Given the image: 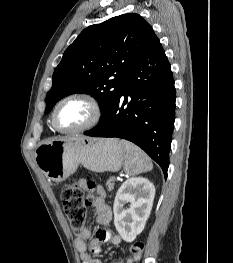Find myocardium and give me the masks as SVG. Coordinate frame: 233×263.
I'll list each match as a JSON object with an SVG mask.
<instances>
[{
    "label": "myocardium",
    "instance_id": "1",
    "mask_svg": "<svg viewBox=\"0 0 233 263\" xmlns=\"http://www.w3.org/2000/svg\"><path fill=\"white\" fill-rule=\"evenodd\" d=\"M70 100L84 101L91 109V116H90V119L81 127L76 128V129H72V130H65V129L60 128L57 124V113H58L60 106L62 104H64L65 102L70 101ZM101 116H102L101 105L96 98H94L90 94H86V93H74V94H70V95L62 98L56 104V106L53 110V114H52V124H53L54 128L61 133L76 134V133H80V132L86 131V130L94 127L99 122Z\"/></svg>",
    "mask_w": 233,
    "mask_h": 263
}]
</instances>
